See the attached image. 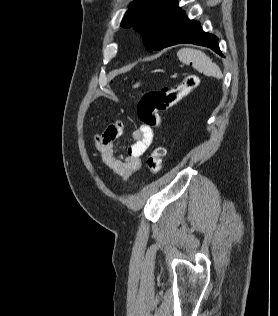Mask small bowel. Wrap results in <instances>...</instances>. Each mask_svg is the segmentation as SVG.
I'll list each match as a JSON object with an SVG mask.
<instances>
[{
  "label": "small bowel",
  "mask_w": 278,
  "mask_h": 316,
  "mask_svg": "<svg viewBox=\"0 0 278 316\" xmlns=\"http://www.w3.org/2000/svg\"><path fill=\"white\" fill-rule=\"evenodd\" d=\"M122 133L123 123L115 120L107 126L102 134L95 136V147L102 162L111 172L115 176L127 180L141 168V157L150 147L154 133L151 127L141 124L132 133V144L125 147L124 152L120 154L116 141Z\"/></svg>",
  "instance_id": "small-bowel-1"
}]
</instances>
